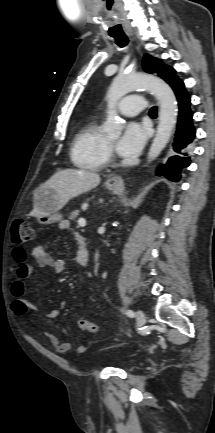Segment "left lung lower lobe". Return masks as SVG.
Here are the masks:
<instances>
[{"label": "left lung lower lobe", "mask_w": 215, "mask_h": 433, "mask_svg": "<svg viewBox=\"0 0 215 433\" xmlns=\"http://www.w3.org/2000/svg\"><path fill=\"white\" fill-rule=\"evenodd\" d=\"M169 85L175 92L179 105L177 130L172 144V148L177 154L170 157L166 164L159 166L157 175L178 182L181 169L188 167L190 164L191 155L188 148L195 137L196 131L192 123L193 113L190 110V96L184 88L183 81L177 77Z\"/></svg>", "instance_id": "1"}]
</instances>
